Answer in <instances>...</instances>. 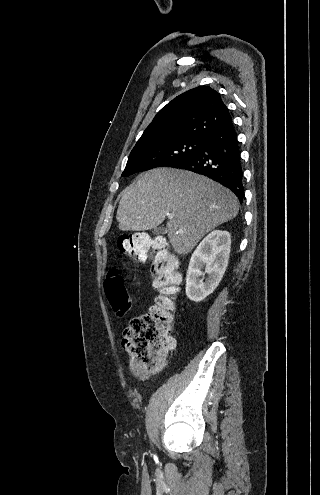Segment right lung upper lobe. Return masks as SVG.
<instances>
[{
    "label": "right lung upper lobe",
    "mask_w": 320,
    "mask_h": 495,
    "mask_svg": "<svg viewBox=\"0 0 320 495\" xmlns=\"http://www.w3.org/2000/svg\"><path fill=\"white\" fill-rule=\"evenodd\" d=\"M232 122L221 95L208 86L190 89L165 105L145 129L136 146L185 138H206Z\"/></svg>",
    "instance_id": "right-lung-upper-lobe-1"
}]
</instances>
